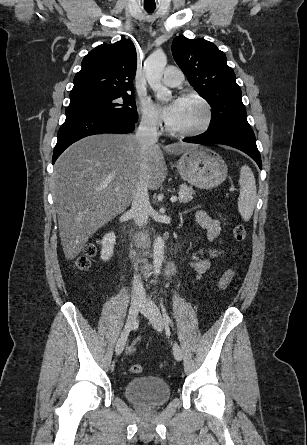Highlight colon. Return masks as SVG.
I'll use <instances>...</instances> for the list:
<instances>
[{
	"instance_id": "1",
	"label": "colon",
	"mask_w": 307,
	"mask_h": 445,
	"mask_svg": "<svg viewBox=\"0 0 307 445\" xmlns=\"http://www.w3.org/2000/svg\"><path fill=\"white\" fill-rule=\"evenodd\" d=\"M247 232L246 228L242 224H237L233 228V237L237 242H243L246 238ZM97 252V245L95 243L89 244L84 252V255L80 257L77 261V266L85 270L89 267L90 259L96 254ZM234 276V270L233 269H227L223 275L221 276L218 287L221 291H224L228 288V286L231 283V280ZM130 372L132 373H141L142 372V366L139 364H132L130 366Z\"/></svg>"
}]
</instances>
